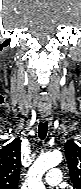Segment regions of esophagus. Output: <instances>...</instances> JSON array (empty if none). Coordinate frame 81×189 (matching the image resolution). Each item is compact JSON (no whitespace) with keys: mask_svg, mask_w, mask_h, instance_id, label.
<instances>
[{"mask_svg":"<svg viewBox=\"0 0 81 189\" xmlns=\"http://www.w3.org/2000/svg\"><path fill=\"white\" fill-rule=\"evenodd\" d=\"M41 119H42L43 121H47V120L49 119L48 113H42V114H41Z\"/></svg>","mask_w":81,"mask_h":189,"instance_id":"esophagus-1","label":"esophagus"}]
</instances>
